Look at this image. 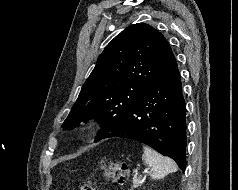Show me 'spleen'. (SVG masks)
Wrapping results in <instances>:
<instances>
[{"mask_svg": "<svg viewBox=\"0 0 238 190\" xmlns=\"http://www.w3.org/2000/svg\"><path fill=\"white\" fill-rule=\"evenodd\" d=\"M143 150L142 158L151 167L150 177L152 179H161L169 173L177 171V165L172 159L160 155L147 146H144Z\"/></svg>", "mask_w": 238, "mask_h": 190, "instance_id": "obj_1", "label": "spleen"}]
</instances>
